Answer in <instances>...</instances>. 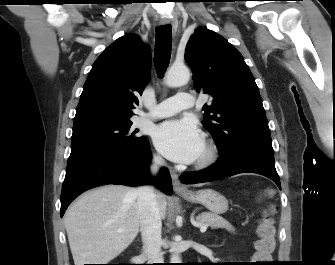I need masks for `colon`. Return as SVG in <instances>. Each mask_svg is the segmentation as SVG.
<instances>
[{
	"instance_id": "obj_1",
	"label": "colon",
	"mask_w": 335,
	"mask_h": 265,
	"mask_svg": "<svg viewBox=\"0 0 335 265\" xmlns=\"http://www.w3.org/2000/svg\"><path fill=\"white\" fill-rule=\"evenodd\" d=\"M275 249V237L270 221L265 220L258 227V240L256 241V252L254 263L256 265H269L272 253Z\"/></svg>"
}]
</instances>
